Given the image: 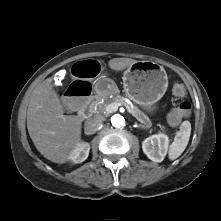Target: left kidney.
I'll return each mask as SVG.
<instances>
[{
    "label": "left kidney",
    "instance_id": "left-kidney-1",
    "mask_svg": "<svg viewBox=\"0 0 221 221\" xmlns=\"http://www.w3.org/2000/svg\"><path fill=\"white\" fill-rule=\"evenodd\" d=\"M169 138L164 133H159L146 138L142 142L143 152L154 162H162L167 154Z\"/></svg>",
    "mask_w": 221,
    "mask_h": 221
}]
</instances>
